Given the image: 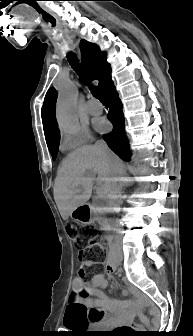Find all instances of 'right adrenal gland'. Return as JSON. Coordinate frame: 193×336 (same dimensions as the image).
I'll return each instance as SVG.
<instances>
[{
	"mask_svg": "<svg viewBox=\"0 0 193 336\" xmlns=\"http://www.w3.org/2000/svg\"><path fill=\"white\" fill-rule=\"evenodd\" d=\"M132 185V180L130 178H122L119 180V190L121 192L125 187H129Z\"/></svg>",
	"mask_w": 193,
	"mask_h": 336,
	"instance_id": "obj_1",
	"label": "right adrenal gland"
}]
</instances>
